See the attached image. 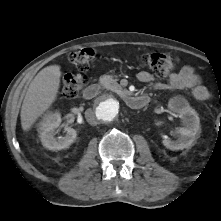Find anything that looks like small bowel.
I'll use <instances>...</instances> for the list:
<instances>
[{"label": "small bowel", "mask_w": 221, "mask_h": 221, "mask_svg": "<svg viewBox=\"0 0 221 221\" xmlns=\"http://www.w3.org/2000/svg\"><path fill=\"white\" fill-rule=\"evenodd\" d=\"M137 78L144 83L153 81L152 75L146 71L139 72ZM156 88L189 90L196 99L201 101L212 98L211 91L202 84L199 75L189 65H185L178 72L171 74L168 84L158 83L156 84Z\"/></svg>", "instance_id": "1"}]
</instances>
